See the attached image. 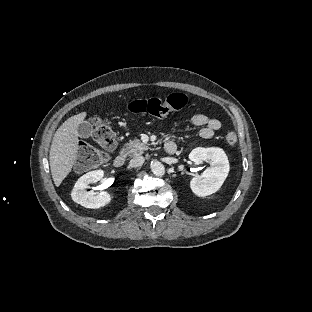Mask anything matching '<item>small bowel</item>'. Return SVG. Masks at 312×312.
I'll use <instances>...</instances> for the list:
<instances>
[{"label":"small bowel","instance_id":"obj_1","mask_svg":"<svg viewBox=\"0 0 312 312\" xmlns=\"http://www.w3.org/2000/svg\"><path fill=\"white\" fill-rule=\"evenodd\" d=\"M188 122L196 127H202L200 131V136L204 139L211 138L214 133L221 129V122L212 117H208L204 114H194L189 119ZM179 122L174 121L172 127H177Z\"/></svg>","mask_w":312,"mask_h":312}]
</instances>
